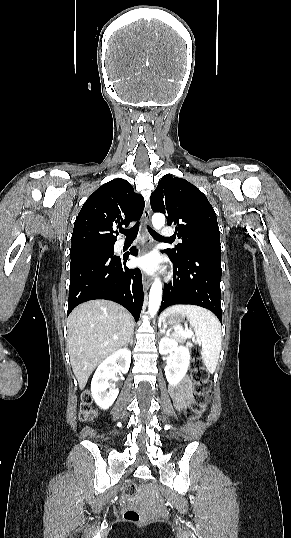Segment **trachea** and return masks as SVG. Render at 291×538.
I'll return each instance as SVG.
<instances>
[{
  "instance_id": "3493384b",
  "label": "trachea",
  "mask_w": 291,
  "mask_h": 538,
  "mask_svg": "<svg viewBox=\"0 0 291 538\" xmlns=\"http://www.w3.org/2000/svg\"><path fill=\"white\" fill-rule=\"evenodd\" d=\"M147 229H148V232L150 233V235L156 239V240H161V241H172V239L170 238H164L162 237L161 235H159L156 231H154L152 228H150L149 226H147ZM138 230H139V223H137L133 228L131 229H128V230H123L122 233H124L126 235V239H135L136 236H137V233H138Z\"/></svg>"
}]
</instances>
